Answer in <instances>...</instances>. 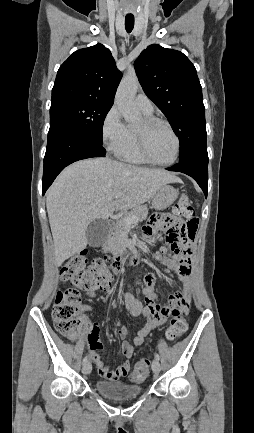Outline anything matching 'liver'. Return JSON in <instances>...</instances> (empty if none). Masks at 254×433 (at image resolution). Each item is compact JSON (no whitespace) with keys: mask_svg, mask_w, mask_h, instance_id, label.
<instances>
[{"mask_svg":"<svg viewBox=\"0 0 254 433\" xmlns=\"http://www.w3.org/2000/svg\"><path fill=\"white\" fill-rule=\"evenodd\" d=\"M179 179L161 169H147L109 158L73 163L49 188L46 207L57 266L87 246L86 230L95 219L106 220L153 198L158 189ZM123 195L115 199L116 194Z\"/></svg>","mask_w":254,"mask_h":433,"instance_id":"1","label":"liver"}]
</instances>
